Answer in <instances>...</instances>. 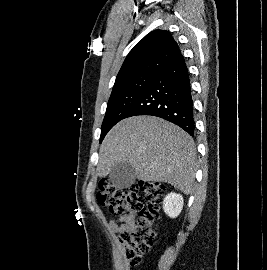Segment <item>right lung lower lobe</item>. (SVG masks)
<instances>
[{"label": "right lung lower lobe", "mask_w": 267, "mask_h": 270, "mask_svg": "<svg viewBox=\"0 0 267 270\" xmlns=\"http://www.w3.org/2000/svg\"><path fill=\"white\" fill-rule=\"evenodd\" d=\"M136 115L157 116L178 125L191 136L195 134L189 73L181 53L155 74L126 118Z\"/></svg>", "instance_id": "1"}]
</instances>
